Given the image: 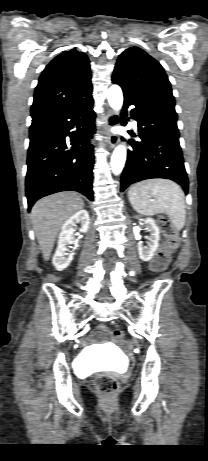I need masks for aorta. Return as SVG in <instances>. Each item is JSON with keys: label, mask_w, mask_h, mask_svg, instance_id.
Masks as SVG:
<instances>
[{"label": "aorta", "mask_w": 208, "mask_h": 461, "mask_svg": "<svg viewBox=\"0 0 208 461\" xmlns=\"http://www.w3.org/2000/svg\"><path fill=\"white\" fill-rule=\"evenodd\" d=\"M107 99L110 107L115 111L119 112L123 104V93L122 89L118 85H111L108 89ZM126 161V147L124 144L118 145L111 156V169L115 175H119L125 165Z\"/></svg>", "instance_id": "1"}]
</instances>
